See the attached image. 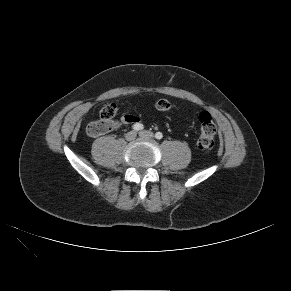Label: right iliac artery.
<instances>
[{
  "instance_id": "obj_1",
  "label": "right iliac artery",
  "mask_w": 291,
  "mask_h": 291,
  "mask_svg": "<svg viewBox=\"0 0 291 291\" xmlns=\"http://www.w3.org/2000/svg\"><path fill=\"white\" fill-rule=\"evenodd\" d=\"M144 128L143 124L141 123H136L132 126V129L135 130V131H140Z\"/></svg>"
}]
</instances>
